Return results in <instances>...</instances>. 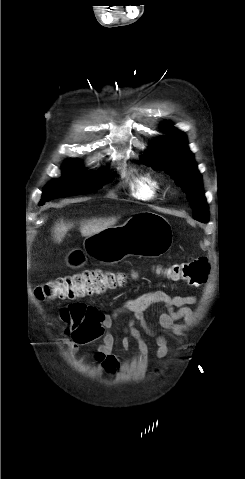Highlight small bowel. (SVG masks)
Instances as JSON below:
<instances>
[{"label":"small bowel","instance_id":"small-bowel-1","mask_svg":"<svg viewBox=\"0 0 245 479\" xmlns=\"http://www.w3.org/2000/svg\"><path fill=\"white\" fill-rule=\"evenodd\" d=\"M196 302L195 295H170L163 290H152L126 300L122 306L111 313L102 312L95 306L87 305V322L83 333L88 337L102 339V345L95 354L96 360L102 364L106 373H114L118 368V359L112 353L116 340L110 329L121 315L129 316V320L122 327L124 335L120 340L121 348L128 351L133 339L137 343L142 361L146 362L150 348L142 332L154 338L157 358L163 359L168 354L166 337L158 329L149 325L146 311H155L160 327L172 332L177 329L179 321L186 323L192 321L193 314L189 306ZM69 346V353L74 354L77 351V344L70 343Z\"/></svg>","mask_w":245,"mask_h":479}]
</instances>
